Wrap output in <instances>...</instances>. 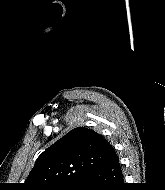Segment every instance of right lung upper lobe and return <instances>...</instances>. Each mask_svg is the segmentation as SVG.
Segmentation results:
<instances>
[{
	"mask_svg": "<svg viewBox=\"0 0 165 190\" xmlns=\"http://www.w3.org/2000/svg\"><path fill=\"white\" fill-rule=\"evenodd\" d=\"M115 156L114 148L102 135L84 127L75 128L41 153L24 188L48 190L76 183L86 172Z\"/></svg>",
	"mask_w": 165,
	"mask_h": 190,
	"instance_id": "right-lung-upper-lobe-1",
	"label": "right lung upper lobe"
}]
</instances>
